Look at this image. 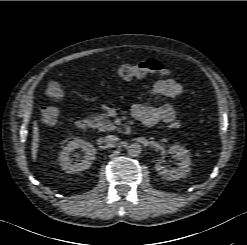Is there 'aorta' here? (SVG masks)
Masks as SVG:
<instances>
[{"label":"aorta","mask_w":247,"mask_h":245,"mask_svg":"<svg viewBox=\"0 0 247 245\" xmlns=\"http://www.w3.org/2000/svg\"><path fill=\"white\" fill-rule=\"evenodd\" d=\"M127 152L129 154V156L131 157H137L138 155L141 154L142 152V147L139 143H131L128 145L127 147Z\"/></svg>","instance_id":"762f6f07"}]
</instances>
